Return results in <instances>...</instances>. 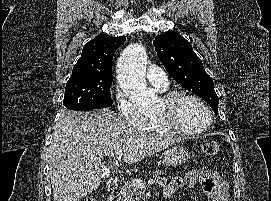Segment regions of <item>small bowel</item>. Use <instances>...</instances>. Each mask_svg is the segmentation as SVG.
I'll list each match as a JSON object with an SVG mask.
<instances>
[{"label": "small bowel", "mask_w": 271, "mask_h": 201, "mask_svg": "<svg viewBox=\"0 0 271 201\" xmlns=\"http://www.w3.org/2000/svg\"><path fill=\"white\" fill-rule=\"evenodd\" d=\"M183 186L188 189L201 188L206 201H229L227 184L215 171L207 167L189 171L185 177H173L164 187L163 194L168 198Z\"/></svg>", "instance_id": "small-bowel-1"}]
</instances>
